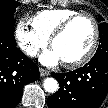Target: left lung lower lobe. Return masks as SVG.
<instances>
[{"label":"left lung lower lobe","instance_id":"0a47b994","mask_svg":"<svg viewBox=\"0 0 108 108\" xmlns=\"http://www.w3.org/2000/svg\"><path fill=\"white\" fill-rule=\"evenodd\" d=\"M52 76L60 88L47 99L48 108H98L108 93V56H94L82 68Z\"/></svg>","mask_w":108,"mask_h":108}]
</instances>
